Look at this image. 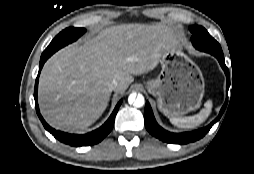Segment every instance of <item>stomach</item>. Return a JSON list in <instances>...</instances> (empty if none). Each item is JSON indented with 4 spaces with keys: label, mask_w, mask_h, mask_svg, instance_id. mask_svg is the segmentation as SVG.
<instances>
[{
    "label": "stomach",
    "mask_w": 254,
    "mask_h": 174,
    "mask_svg": "<svg viewBox=\"0 0 254 174\" xmlns=\"http://www.w3.org/2000/svg\"><path fill=\"white\" fill-rule=\"evenodd\" d=\"M161 71L146 82L157 98L159 110L175 117L196 109L204 95V78L199 67L179 48L165 49L159 59Z\"/></svg>",
    "instance_id": "1"
}]
</instances>
